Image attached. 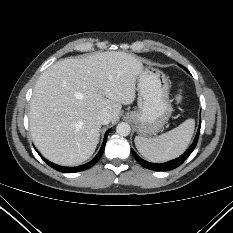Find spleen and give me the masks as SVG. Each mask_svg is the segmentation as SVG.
Masks as SVG:
<instances>
[{
  "instance_id": "spleen-1",
  "label": "spleen",
  "mask_w": 233,
  "mask_h": 233,
  "mask_svg": "<svg viewBox=\"0 0 233 233\" xmlns=\"http://www.w3.org/2000/svg\"><path fill=\"white\" fill-rule=\"evenodd\" d=\"M195 127L194 119H187L178 127L153 139L135 137L139 153L151 162H165L180 156L188 147Z\"/></svg>"
}]
</instances>
